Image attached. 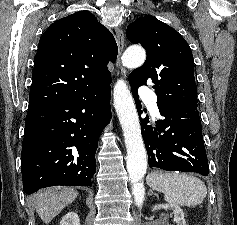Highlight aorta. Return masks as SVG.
Masks as SVG:
<instances>
[{
	"instance_id": "aorta-1",
	"label": "aorta",
	"mask_w": 237,
	"mask_h": 225,
	"mask_svg": "<svg viewBox=\"0 0 237 225\" xmlns=\"http://www.w3.org/2000/svg\"><path fill=\"white\" fill-rule=\"evenodd\" d=\"M122 64L128 68L140 67L146 53L142 47L131 46L122 55ZM115 110L122 127L127 150V171L132 183V193L137 203H141L145 188L141 183L147 170V153L140 130L136 106L124 80H118L113 91Z\"/></svg>"
}]
</instances>
